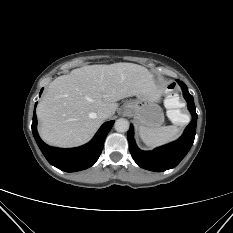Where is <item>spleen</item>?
Segmentation results:
<instances>
[{
    "instance_id": "spleen-1",
    "label": "spleen",
    "mask_w": 233,
    "mask_h": 233,
    "mask_svg": "<svg viewBox=\"0 0 233 233\" xmlns=\"http://www.w3.org/2000/svg\"><path fill=\"white\" fill-rule=\"evenodd\" d=\"M175 104V100H165V105L169 108L167 111V116L172 121V123H174V125L163 126L159 128H139V135L142 141L148 147H158L174 141L179 137L180 128L177 126L185 124L188 121V116L182 114L179 109H172Z\"/></svg>"
}]
</instances>
